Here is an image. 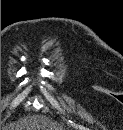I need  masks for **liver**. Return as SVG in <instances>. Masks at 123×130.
<instances>
[{
    "instance_id": "6515ba94",
    "label": "liver",
    "mask_w": 123,
    "mask_h": 130,
    "mask_svg": "<svg viewBox=\"0 0 123 130\" xmlns=\"http://www.w3.org/2000/svg\"><path fill=\"white\" fill-rule=\"evenodd\" d=\"M49 120L43 116H27L20 121L10 124L9 130H51Z\"/></svg>"
}]
</instances>
